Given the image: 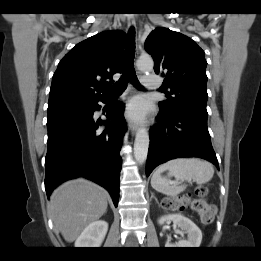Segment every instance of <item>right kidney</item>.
<instances>
[{"label":"right kidney","instance_id":"1","mask_svg":"<svg viewBox=\"0 0 261 261\" xmlns=\"http://www.w3.org/2000/svg\"><path fill=\"white\" fill-rule=\"evenodd\" d=\"M108 230L104 220L89 224L75 241L76 248H98L102 244Z\"/></svg>","mask_w":261,"mask_h":261}]
</instances>
